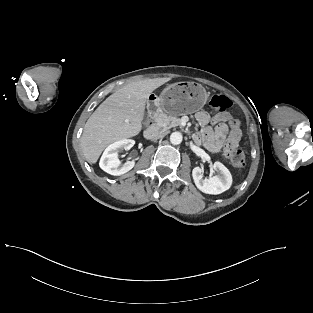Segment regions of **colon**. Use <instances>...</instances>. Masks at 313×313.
Segmentation results:
<instances>
[{
    "mask_svg": "<svg viewBox=\"0 0 313 313\" xmlns=\"http://www.w3.org/2000/svg\"><path fill=\"white\" fill-rule=\"evenodd\" d=\"M209 105L217 112H225L232 106V102L224 95L215 94L210 98ZM151 124V119H148L146 125ZM225 156L229 159L231 164L239 170L243 169L246 165L245 155L237 146L227 145L225 148Z\"/></svg>",
    "mask_w": 313,
    "mask_h": 313,
    "instance_id": "5ec220e1",
    "label": "colon"
}]
</instances>
